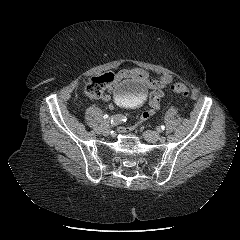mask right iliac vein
I'll return each instance as SVG.
<instances>
[{
  "label": "right iliac vein",
  "instance_id": "right-iliac-vein-1",
  "mask_svg": "<svg viewBox=\"0 0 240 240\" xmlns=\"http://www.w3.org/2000/svg\"><path fill=\"white\" fill-rule=\"evenodd\" d=\"M110 131H111V128L109 125H105L103 128H102V133L103 135L105 136H108L110 134Z\"/></svg>",
  "mask_w": 240,
  "mask_h": 240
}]
</instances>
